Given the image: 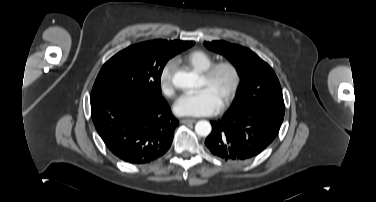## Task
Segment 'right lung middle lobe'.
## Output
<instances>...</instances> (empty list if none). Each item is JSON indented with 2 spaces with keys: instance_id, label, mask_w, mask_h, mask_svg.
I'll return each instance as SVG.
<instances>
[{
  "instance_id": "dd1d6c3e",
  "label": "right lung middle lobe",
  "mask_w": 376,
  "mask_h": 202,
  "mask_svg": "<svg viewBox=\"0 0 376 202\" xmlns=\"http://www.w3.org/2000/svg\"><path fill=\"white\" fill-rule=\"evenodd\" d=\"M193 45V41H177L156 49L143 42L120 51L102 67L91 97L110 91L161 97L160 80L165 64Z\"/></svg>"
}]
</instances>
